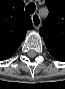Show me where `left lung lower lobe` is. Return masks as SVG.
I'll return each instance as SVG.
<instances>
[{
  "label": "left lung lower lobe",
  "instance_id": "obj_1",
  "mask_svg": "<svg viewBox=\"0 0 65 89\" xmlns=\"http://www.w3.org/2000/svg\"><path fill=\"white\" fill-rule=\"evenodd\" d=\"M48 52L57 60L65 61V45L44 40Z\"/></svg>",
  "mask_w": 65,
  "mask_h": 89
}]
</instances>
